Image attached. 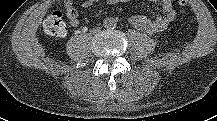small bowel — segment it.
Returning <instances> with one entry per match:
<instances>
[{
  "instance_id": "1",
  "label": "small bowel",
  "mask_w": 217,
  "mask_h": 121,
  "mask_svg": "<svg viewBox=\"0 0 217 121\" xmlns=\"http://www.w3.org/2000/svg\"><path fill=\"white\" fill-rule=\"evenodd\" d=\"M100 0H85L83 2V7H89L93 3ZM129 0H106L110 5H115ZM151 2H156L157 0H149ZM161 8L163 14L155 19H149L143 15H135L130 18V23L136 28L143 30L147 33H155L166 28L171 22L174 21L176 17L175 10L172 6L171 0H160ZM64 7L66 9V15L69 23L72 27L79 25V14L74 6V0H63Z\"/></svg>"
}]
</instances>
